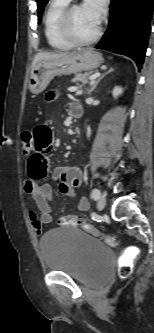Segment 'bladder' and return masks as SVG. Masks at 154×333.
I'll list each match as a JSON object with an SVG mask.
<instances>
[{"label": "bladder", "instance_id": "1", "mask_svg": "<svg viewBox=\"0 0 154 333\" xmlns=\"http://www.w3.org/2000/svg\"><path fill=\"white\" fill-rule=\"evenodd\" d=\"M39 248L46 269L84 282L105 280L113 269L111 248L75 225L49 230Z\"/></svg>", "mask_w": 154, "mask_h": 333}]
</instances>
